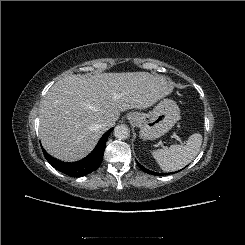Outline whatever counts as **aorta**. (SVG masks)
<instances>
[{
  "instance_id": "aorta-1",
  "label": "aorta",
  "mask_w": 245,
  "mask_h": 245,
  "mask_svg": "<svg viewBox=\"0 0 245 245\" xmlns=\"http://www.w3.org/2000/svg\"><path fill=\"white\" fill-rule=\"evenodd\" d=\"M129 135H130L129 128L124 124L117 125L114 128V136L119 140H125L129 137Z\"/></svg>"
}]
</instances>
